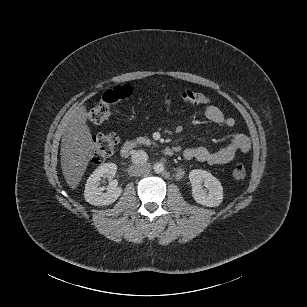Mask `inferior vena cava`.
<instances>
[{"instance_id":"inferior-vena-cava-1","label":"inferior vena cava","mask_w":307,"mask_h":307,"mask_svg":"<svg viewBox=\"0 0 307 307\" xmlns=\"http://www.w3.org/2000/svg\"><path fill=\"white\" fill-rule=\"evenodd\" d=\"M132 161L135 164H144L148 161V155L143 150H137L132 154Z\"/></svg>"}]
</instances>
